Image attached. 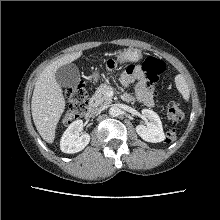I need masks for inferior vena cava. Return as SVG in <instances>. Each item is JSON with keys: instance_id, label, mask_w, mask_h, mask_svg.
Instances as JSON below:
<instances>
[{"instance_id": "1", "label": "inferior vena cava", "mask_w": 220, "mask_h": 220, "mask_svg": "<svg viewBox=\"0 0 220 220\" xmlns=\"http://www.w3.org/2000/svg\"><path fill=\"white\" fill-rule=\"evenodd\" d=\"M102 110H103V109H101V108H91V109L89 110V112H90L91 115H98V114L101 113Z\"/></svg>"}]
</instances>
